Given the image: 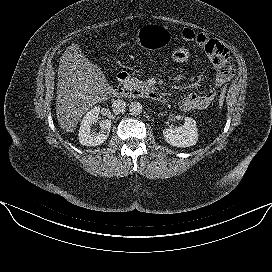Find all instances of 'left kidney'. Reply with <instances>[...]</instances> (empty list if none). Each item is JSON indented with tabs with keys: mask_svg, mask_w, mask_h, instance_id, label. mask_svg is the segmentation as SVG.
Returning a JSON list of instances; mask_svg holds the SVG:
<instances>
[{
	"mask_svg": "<svg viewBox=\"0 0 272 272\" xmlns=\"http://www.w3.org/2000/svg\"><path fill=\"white\" fill-rule=\"evenodd\" d=\"M184 124L176 129L167 128L163 130L165 141L176 147H190L198 140V129L193 118L185 117Z\"/></svg>",
	"mask_w": 272,
	"mask_h": 272,
	"instance_id": "obj_1",
	"label": "left kidney"
}]
</instances>
